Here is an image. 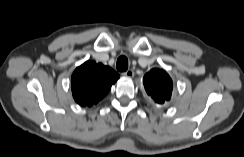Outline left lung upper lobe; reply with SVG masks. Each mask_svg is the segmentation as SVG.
Here are the masks:
<instances>
[{
  "label": "left lung upper lobe",
  "mask_w": 244,
  "mask_h": 157,
  "mask_svg": "<svg viewBox=\"0 0 244 157\" xmlns=\"http://www.w3.org/2000/svg\"><path fill=\"white\" fill-rule=\"evenodd\" d=\"M145 90L151 98L163 104L171 98L173 83L170 76L162 69H152L143 78Z\"/></svg>",
  "instance_id": "left-lung-upper-lobe-1"
}]
</instances>
